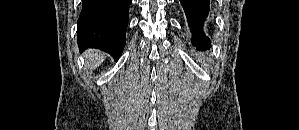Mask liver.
<instances>
[{
  "label": "liver",
  "instance_id": "obj_1",
  "mask_svg": "<svg viewBox=\"0 0 299 130\" xmlns=\"http://www.w3.org/2000/svg\"><path fill=\"white\" fill-rule=\"evenodd\" d=\"M89 68H97L105 59V55L99 51H88L85 53Z\"/></svg>",
  "mask_w": 299,
  "mask_h": 130
}]
</instances>
